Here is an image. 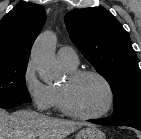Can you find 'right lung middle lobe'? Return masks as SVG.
Segmentation results:
<instances>
[{
  "instance_id": "right-lung-middle-lobe-1",
  "label": "right lung middle lobe",
  "mask_w": 141,
  "mask_h": 139,
  "mask_svg": "<svg viewBox=\"0 0 141 139\" xmlns=\"http://www.w3.org/2000/svg\"><path fill=\"white\" fill-rule=\"evenodd\" d=\"M27 62H0V105L31 102L25 84Z\"/></svg>"
}]
</instances>
